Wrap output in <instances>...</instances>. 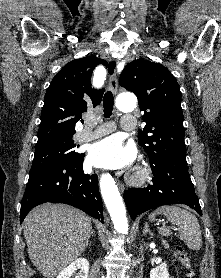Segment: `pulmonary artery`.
Here are the masks:
<instances>
[{
    "label": "pulmonary artery",
    "mask_w": 221,
    "mask_h": 278,
    "mask_svg": "<svg viewBox=\"0 0 221 278\" xmlns=\"http://www.w3.org/2000/svg\"><path fill=\"white\" fill-rule=\"evenodd\" d=\"M136 122V119L132 115H125L122 118V126L124 129H131ZM115 126L113 123H109L103 126H97L96 123L89 121L84 130L78 133V140L81 142L90 141L97 137L108 134L114 130Z\"/></svg>",
    "instance_id": "1"
}]
</instances>
